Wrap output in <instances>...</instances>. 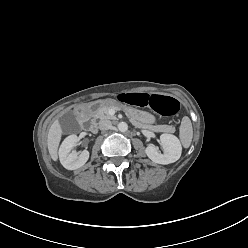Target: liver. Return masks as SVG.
Instances as JSON below:
<instances>
[{"label":"liver","instance_id":"1","mask_svg":"<svg viewBox=\"0 0 248 248\" xmlns=\"http://www.w3.org/2000/svg\"><path fill=\"white\" fill-rule=\"evenodd\" d=\"M61 136H62V128L59 123V120L56 119L52 123L47 136L48 151L51 158L54 161H57L58 159V147L61 141Z\"/></svg>","mask_w":248,"mask_h":248}]
</instances>
